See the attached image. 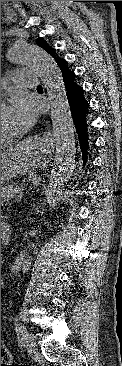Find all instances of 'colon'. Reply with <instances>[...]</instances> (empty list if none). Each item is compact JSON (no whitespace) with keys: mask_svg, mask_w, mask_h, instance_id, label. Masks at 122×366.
<instances>
[{"mask_svg":"<svg viewBox=\"0 0 122 366\" xmlns=\"http://www.w3.org/2000/svg\"><path fill=\"white\" fill-rule=\"evenodd\" d=\"M6 353L5 349L1 347V355H4Z\"/></svg>","mask_w":122,"mask_h":366,"instance_id":"obj_1","label":"colon"}]
</instances>
